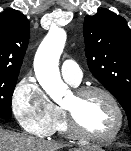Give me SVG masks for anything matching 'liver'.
Wrapping results in <instances>:
<instances>
[{"label":"liver","mask_w":131,"mask_h":151,"mask_svg":"<svg viewBox=\"0 0 131 151\" xmlns=\"http://www.w3.org/2000/svg\"><path fill=\"white\" fill-rule=\"evenodd\" d=\"M65 144L36 139L25 134H18L0 128V151H57ZM83 151L84 148L72 149Z\"/></svg>","instance_id":"obj_1"}]
</instances>
